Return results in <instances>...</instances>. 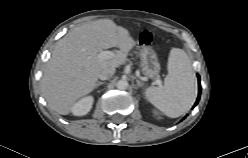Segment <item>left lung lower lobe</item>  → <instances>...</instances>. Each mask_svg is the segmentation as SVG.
Instances as JSON below:
<instances>
[{
    "instance_id": "obj_1",
    "label": "left lung lower lobe",
    "mask_w": 248,
    "mask_h": 158,
    "mask_svg": "<svg viewBox=\"0 0 248 158\" xmlns=\"http://www.w3.org/2000/svg\"><path fill=\"white\" fill-rule=\"evenodd\" d=\"M200 91H201V88H200V79H199V92H198V99L195 103V105L198 103L199 99H200Z\"/></svg>"
}]
</instances>
